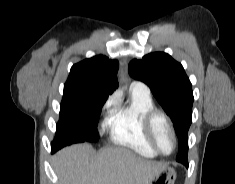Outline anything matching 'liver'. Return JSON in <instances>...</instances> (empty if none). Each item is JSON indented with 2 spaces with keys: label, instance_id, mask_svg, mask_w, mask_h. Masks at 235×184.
I'll list each match as a JSON object with an SVG mask.
<instances>
[{
  "label": "liver",
  "instance_id": "obj_1",
  "mask_svg": "<svg viewBox=\"0 0 235 184\" xmlns=\"http://www.w3.org/2000/svg\"><path fill=\"white\" fill-rule=\"evenodd\" d=\"M53 162L60 184H150L166 166L126 148H103L96 154L91 144L63 148Z\"/></svg>",
  "mask_w": 235,
  "mask_h": 184
}]
</instances>
